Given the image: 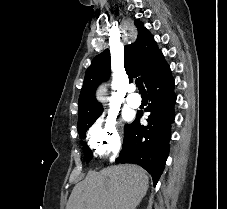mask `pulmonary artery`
Instances as JSON below:
<instances>
[{
  "label": "pulmonary artery",
  "mask_w": 227,
  "mask_h": 209,
  "mask_svg": "<svg viewBox=\"0 0 227 209\" xmlns=\"http://www.w3.org/2000/svg\"><path fill=\"white\" fill-rule=\"evenodd\" d=\"M130 87L126 88L127 92H132L131 94H129L126 98V103L132 107H139L142 103V98L138 93H135L137 91L136 83L135 82H130L129 83Z\"/></svg>",
  "instance_id": "obj_1"
}]
</instances>
